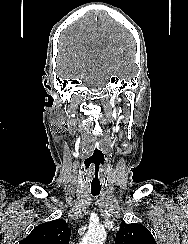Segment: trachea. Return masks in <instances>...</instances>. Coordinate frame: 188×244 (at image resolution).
Here are the masks:
<instances>
[{
  "label": "trachea",
  "mask_w": 188,
  "mask_h": 244,
  "mask_svg": "<svg viewBox=\"0 0 188 244\" xmlns=\"http://www.w3.org/2000/svg\"><path fill=\"white\" fill-rule=\"evenodd\" d=\"M90 186H91V194L93 196H98L103 190V180H92Z\"/></svg>",
  "instance_id": "obj_1"
}]
</instances>
